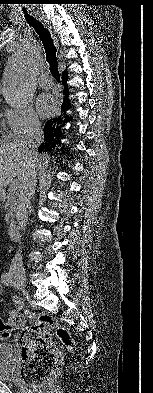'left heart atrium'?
<instances>
[{
	"mask_svg": "<svg viewBox=\"0 0 153 393\" xmlns=\"http://www.w3.org/2000/svg\"><path fill=\"white\" fill-rule=\"evenodd\" d=\"M37 108L41 116H50L56 108L53 96L48 93L41 94L37 99Z\"/></svg>",
	"mask_w": 153,
	"mask_h": 393,
	"instance_id": "39dd6f15",
	"label": "left heart atrium"
}]
</instances>
